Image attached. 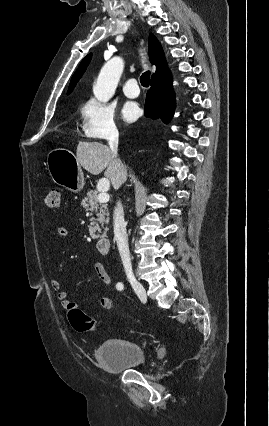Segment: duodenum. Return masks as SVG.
<instances>
[{
	"mask_svg": "<svg viewBox=\"0 0 269 426\" xmlns=\"http://www.w3.org/2000/svg\"><path fill=\"white\" fill-rule=\"evenodd\" d=\"M97 249L101 254H108L111 247V240L109 237H102L97 241Z\"/></svg>",
	"mask_w": 269,
	"mask_h": 426,
	"instance_id": "duodenum-1",
	"label": "duodenum"
}]
</instances>
